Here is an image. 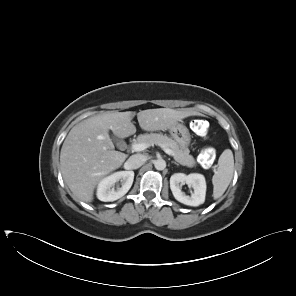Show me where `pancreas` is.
Instances as JSON below:
<instances>
[{"mask_svg":"<svg viewBox=\"0 0 296 296\" xmlns=\"http://www.w3.org/2000/svg\"><path fill=\"white\" fill-rule=\"evenodd\" d=\"M136 143H146L149 146L153 145H165L170 148L174 153V159L183 166L189 168L196 166V161L187 147H180L173 139L163 135L161 133H150L139 135L136 139Z\"/></svg>","mask_w":296,"mask_h":296,"instance_id":"cf45deb5","label":"pancreas"}]
</instances>
